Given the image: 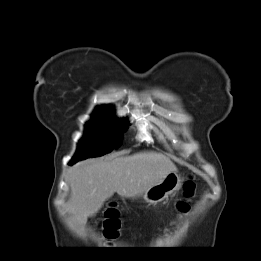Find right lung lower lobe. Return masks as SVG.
Returning <instances> with one entry per match:
<instances>
[{
	"label": "right lung lower lobe",
	"mask_w": 261,
	"mask_h": 261,
	"mask_svg": "<svg viewBox=\"0 0 261 261\" xmlns=\"http://www.w3.org/2000/svg\"><path fill=\"white\" fill-rule=\"evenodd\" d=\"M74 162H76V161L72 160V161L70 162V164H73Z\"/></svg>",
	"instance_id": "right-lung-lower-lobe-1"
}]
</instances>
